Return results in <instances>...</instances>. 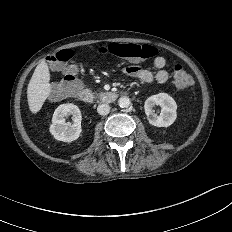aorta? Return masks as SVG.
Returning a JSON list of instances; mask_svg holds the SVG:
<instances>
[{"label": "aorta", "mask_w": 232, "mask_h": 232, "mask_svg": "<svg viewBox=\"0 0 232 232\" xmlns=\"http://www.w3.org/2000/svg\"><path fill=\"white\" fill-rule=\"evenodd\" d=\"M130 103H131L130 99L128 97H126V96L120 97L119 100H118V105L121 108L129 107Z\"/></svg>", "instance_id": "1"}]
</instances>
